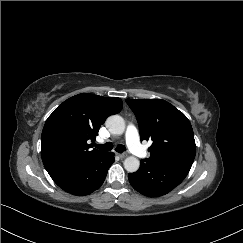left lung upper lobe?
Segmentation results:
<instances>
[{
	"instance_id": "5c2ea615",
	"label": "left lung upper lobe",
	"mask_w": 243,
	"mask_h": 243,
	"mask_svg": "<svg viewBox=\"0 0 243 243\" xmlns=\"http://www.w3.org/2000/svg\"><path fill=\"white\" fill-rule=\"evenodd\" d=\"M126 102L136 115L141 140L153 141L148 148L151 156L144 162L195 157L192 126L181 111L161 99H126Z\"/></svg>"
}]
</instances>
